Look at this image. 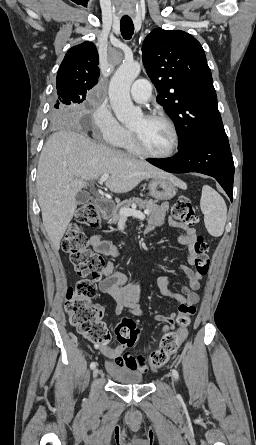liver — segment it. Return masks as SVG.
Segmentation results:
<instances>
[{
    "instance_id": "obj_1",
    "label": "liver",
    "mask_w": 256,
    "mask_h": 445,
    "mask_svg": "<svg viewBox=\"0 0 256 445\" xmlns=\"http://www.w3.org/2000/svg\"><path fill=\"white\" fill-rule=\"evenodd\" d=\"M104 173L111 174L105 185L115 193L129 192L144 179L171 176L71 129L53 133L39 158L36 185L43 225L55 251L77 208V193ZM171 177L177 186H185Z\"/></svg>"
}]
</instances>
